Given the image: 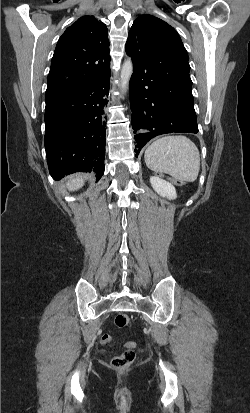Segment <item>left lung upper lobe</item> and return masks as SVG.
<instances>
[{"label":"left lung upper lobe","mask_w":250,"mask_h":413,"mask_svg":"<svg viewBox=\"0 0 250 413\" xmlns=\"http://www.w3.org/2000/svg\"><path fill=\"white\" fill-rule=\"evenodd\" d=\"M145 47L148 65L156 74H171L175 78L189 76L187 51L176 30L152 15L139 16L133 23L126 42V51Z\"/></svg>","instance_id":"obj_1"}]
</instances>
